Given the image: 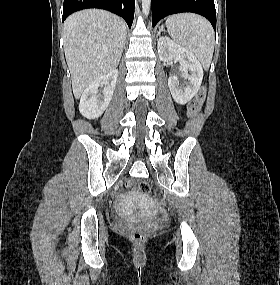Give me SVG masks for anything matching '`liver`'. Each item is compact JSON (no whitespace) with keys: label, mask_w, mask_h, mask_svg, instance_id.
I'll return each instance as SVG.
<instances>
[{"label":"liver","mask_w":280,"mask_h":285,"mask_svg":"<svg viewBox=\"0 0 280 285\" xmlns=\"http://www.w3.org/2000/svg\"><path fill=\"white\" fill-rule=\"evenodd\" d=\"M126 25L104 10L87 9L70 15L64 23V51L76 99L97 78L120 61Z\"/></svg>","instance_id":"obj_1"}]
</instances>
